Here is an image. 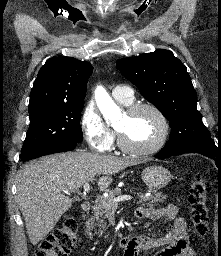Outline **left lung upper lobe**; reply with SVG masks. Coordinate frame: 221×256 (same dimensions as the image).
<instances>
[{
	"label": "left lung upper lobe",
	"instance_id": "1",
	"mask_svg": "<svg viewBox=\"0 0 221 256\" xmlns=\"http://www.w3.org/2000/svg\"><path fill=\"white\" fill-rule=\"evenodd\" d=\"M116 65L169 120L172 130L165 146L211 138L197 111V95L187 68L171 51L157 49L117 60Z\"/></svg>",
	"mask_w": 221,
	"mask_h": 256
}]
</instances>
